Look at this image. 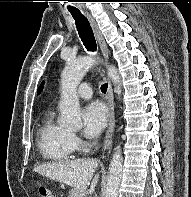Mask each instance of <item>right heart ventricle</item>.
<instances>
[{"mask_svg": "<svg viewBox=\"0 0 191 197\" xmlns=\"http://www.w3.org/2000/svg\"><path fill=\"white\" fill-rule=\"evenodd\" d=\"M37 147L41 156L49 161H65L72 158L73 148L69 143V132L57 124L52 110H47L37 131Z\"/></svg>", "mask_w": 191, "mask_h": 197, "instance_id": "obj_1", "label": "right heart ventricle"}]
</instances>
